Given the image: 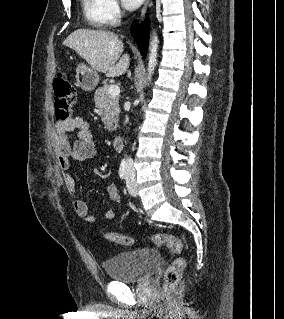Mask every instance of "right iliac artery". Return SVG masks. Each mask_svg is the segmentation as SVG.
<instances>
[{
	"mask_svg": "<svg viewBox=\"0 0 284 319\" xmlns=\"http://www.w3.org/2000/svg\"><path fill=\"white\" fill-rule=\"evenodd\" d=\"M127 173V162L123 160L119 168V176L121 179H124Z\"/></svg>",
	"mask_w": 284,
	"mask_h": 319,
	"instance_id": "obj_1",
	"label": "right iliac artery"
}]
</instances>
